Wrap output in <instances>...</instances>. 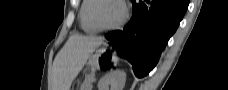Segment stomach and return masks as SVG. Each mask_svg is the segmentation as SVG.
<instances>
[{"mask_svg":"<svg viewBox=\"0 0 228 90\" xmlns=\"http://www.w3.org/2000/svg\"><path fill=\"white\" fill-rule=\"evenodd\" d=\"M116 59L117 58L115 56H113L112 58L107 57L105 55V49H100L94 55L90 56L87 64L92 68H98L106 64L115 63Z\"/></svg>","mask_w":228,"mask_h":90,"instance_id":"stomach-1","label":"stomach"}]
</instances>
